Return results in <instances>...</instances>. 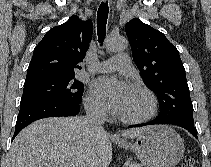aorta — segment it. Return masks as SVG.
<instances>
[{
    "instance_id": "1",
    "label": "aorta",
    "mask_w": 211,
    "mask_h": 167,
    "mask_svg": "<svg viewBox=\"0 0 211 167\" xmlns=\"http://www.w3.org/2000/svg\"><path fill=\"white\" fill-rule=\"evenodd\" d=\"M128 47V41L121 36H111L106 41V49L109 52L124 51Z\"/></svg>"
}]
</instances>
